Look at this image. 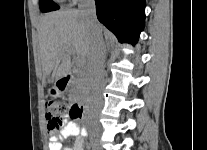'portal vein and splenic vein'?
<instances>
[{"label": "portal vein and splenic vein", "mask_w": 207, "mask_h": 150, "mask_svg": "<svg viewBox=\"0 0 207 150\" xmlns=\"http://www.w3.org/2000/svg\"><path fill=\"white\" fill-rule=\"evenodd\" d=\"M77 64H78L79 66H83V65H84V63H83L81 60H77Z\"/></svg>", "instance_id": "1"}]
</instances>
